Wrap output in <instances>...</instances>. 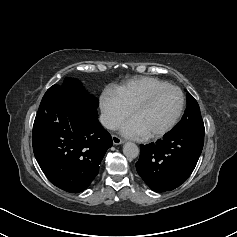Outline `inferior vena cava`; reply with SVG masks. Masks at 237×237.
<instances>
[{
  "label": "inferior vena cava",
  "mask_w": 237,
  "mask_h": 237,
  "mask_svg": "<svg viewBox=\"0 0 237 237\" xmlns=\"http://www.w3.org/2000/svg\"><path fill=\"white\" fill-rule=\"evenodd\" d=\"M99 121L107 129L116 130L119 127V122L112 116L107 114H101Z\"/></svg>",
  "instance_id": "602c4592"
}]
</instances>
